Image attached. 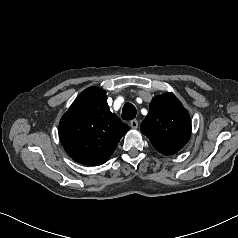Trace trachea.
<instances>
[{"mask_svg": "<svg viewBox=\"0 0 238 238\" xmlns=\"http://www.w3.org/2000/svg\"><path fill=\"white\" fill-rule=\"evenodd\" d=\"M137 114L136 108L131 103H126L122 109V118L124 120H132Z\"/></svg>", "mask_w": 238, "mask_h": 238, "instance_id": "1", "label": "trachea"}]
</instances>
